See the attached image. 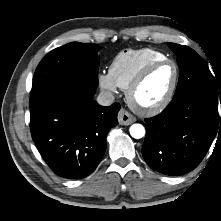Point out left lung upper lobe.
I'll return each instance as SVG.
<instances>
[{"label":"left lung upper lobe","mask_w":221,"mask_h":221,"mask_svg":"<svg viewBox=\"0 0 221 221\" xmlns=\"http://www.w3.org/2000/svg\"><path fill=\"white\" fill-rule=\"evenodd\" d=\"M168 46L176 54L180 68V76L174 97L188 92H198L211 97L217 102L219 99L221 101L220 81L214 78L200 56L184 45L168 43Z\"/></svg>","instance_id":"obj_1"}]
</instances>
